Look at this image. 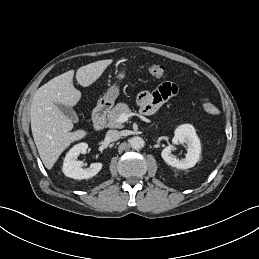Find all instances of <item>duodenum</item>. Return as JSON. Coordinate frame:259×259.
<instances>
[{
	"instance_id": "duodenum-1",
	"label": "duodenum",
	"mask_w": 259,
	"mask_h": 259,
	"mask_svg": "<svg viewBox=\"0 0 259 259\" xmlns=\"http://www.w3.org/2000/svg\"><path fill=\"white\" fill-rule=\"evenodd\" d=\"M108 105H98L93 111V127L95 130H101L105 124L106 114L108 112Z\"/></svg>"
}]
</instances>
